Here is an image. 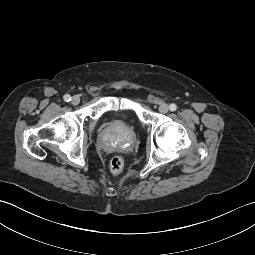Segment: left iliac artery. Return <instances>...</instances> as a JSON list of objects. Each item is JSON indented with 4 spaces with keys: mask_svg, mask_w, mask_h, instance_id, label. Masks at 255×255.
<instances>
[{
    "mask_svg": "<svg viewBox=\"0 0 255 255\" xmlns=\"http://www.w3.org/2000/svg\"><path fill=\"white\" fill-rule=\"evenodd\" d=\"M169 109H170L171 111H176V109H177L176 104H174V103L170 104V105H169Z\"/></svg>",
    "mask_w": 255,
    "mask_h": 255,
    "instance_id": "44dca946",
    "label": "left iliac artery"
}]
</instances>
